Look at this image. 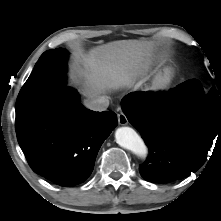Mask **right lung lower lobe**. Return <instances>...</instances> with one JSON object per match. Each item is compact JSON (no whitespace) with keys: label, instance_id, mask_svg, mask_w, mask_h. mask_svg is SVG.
I'll use <instances>...</instances> for the list:
<instances>
[{"label":"right lung lower lobe","instance_id":"right-lung-lower-lobe-1","mask_svg":"<svg viewBox=\"0 0 221 221\" xmlns=\"http://www.w3.org/2000/svg\"><path fill=\"white\" fill-rule=\"evenodd\" d=\"M47 81L30 75L21 91ZM47 99L32 120L16 127L18 143L37 174L64 187L80 184L93 171L102 143L117 126V115L86 109L65 84L52 89Z\"/></svg>","mask_w":221,"mask_h":221}]
</instances>
